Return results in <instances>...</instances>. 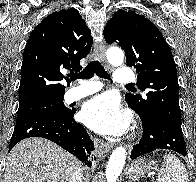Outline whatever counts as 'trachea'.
Listing matches in <instances>:
<instances>
[{"label":"trachea","mask_w":196,"mask_h":182,"mask_svg":"<svg viewBox=\"0 0 196 182\" xmlns=\"http://www.w3.org/2000/svg\"><path fill=\"white\" fill-rule=\"evenodd\" d=\"M94 74L100 78L111 80L110 75L105 71L104 67L98 60L90 61L82 72L70 75V79H90ZM127 87L133 88V86Z\"/></svg>","instance_id":"obj_1"}]
</instances>
